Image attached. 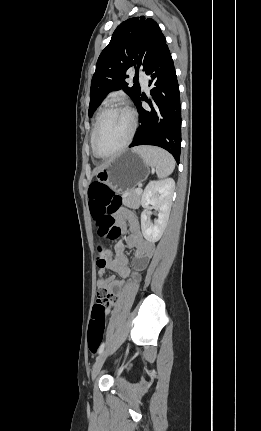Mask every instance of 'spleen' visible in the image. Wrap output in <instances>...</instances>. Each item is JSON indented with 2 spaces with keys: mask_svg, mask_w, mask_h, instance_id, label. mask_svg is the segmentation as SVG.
<instances>
[{
  "mask_svg": "<svg viewBox=\"0 0 261 431\" xmlns=\"http://www.w3.org/2000/svg\"><path fill=\"white\" fill-rule=\"evenodd\" d=\"M134 150L144 162L153 167L159 178L169 176L175 168V160L170 153L157 147L141 146Z\"/></svg>",
  "mask_w": 261,
  "mask_h": 431,
  "instance_id": "obj_1",
  "label": "spleen"
}]
</instances>
